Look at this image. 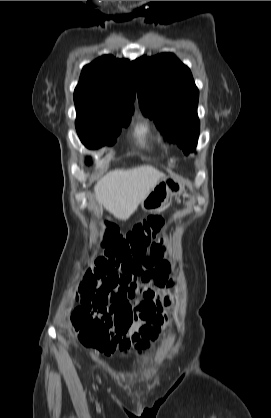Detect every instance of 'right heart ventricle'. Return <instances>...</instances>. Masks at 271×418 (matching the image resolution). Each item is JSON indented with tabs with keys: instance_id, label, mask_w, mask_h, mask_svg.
<instances>
[{
	"instance_id": "1",
	"label": "right heart ventricle",
	"mask_w": 271,
	"mask_h": 418,
	"mask_svg": "<svg viewBox=\"0 0 271 418\" xmlns=\"http://www.w3.org/2000/svg\"><path fill=\"white\" fill-rule=\"evenodd\" d=\"M134 135L138 144L143 148H150L155 141L154 131L146 121H142L136 126Z\"/></svg>"
}]
</instances>
